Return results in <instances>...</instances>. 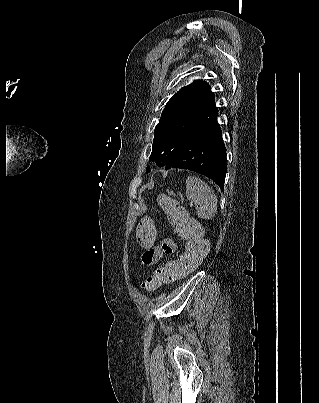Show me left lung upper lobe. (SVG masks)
<instances>
[{
	"mask_svg": "<svg viewBox=\"0 0 319 403\" xmlns=\"http://www.w3.org/2000/svg\"><path fill=\"white\" fill-rule=\"evenodd\" d=\"M214 100L213 92L203 80L194 81L175 93L155 128L149 161H155L159 167L166 166ZM146 171L150 172V167Z\"/></svg>",
	"mask_w": 319,
	"mask_h": 403,
	"instance_id": "5c2ea615",
	"label": "left lung upper lobe"
}]
</instances>
